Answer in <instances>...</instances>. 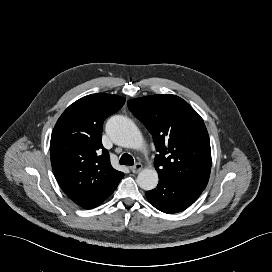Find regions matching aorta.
I'll use <instances>...</instances> for the list:
<instances>
[{"instance_id": "762f6f07", "label": "aorta", "mask_w": 272, "mask_h": 272, "mask_svg": "<svg viewBox=\"0 0 272 272\" xmlns=\"http://www.w3.org/2000/svg\"><path fill=\"white\" fill-rule=\"evenodd\" d=\"M106 132L118 145L127 148H139L143 137L136 124L121 115L111 117L106 123ZM158 173L155 169L145 168L137 177V184L143 190L154 189L158 184Z\"/></svg>"}]
</instances>
